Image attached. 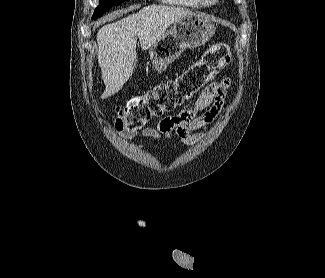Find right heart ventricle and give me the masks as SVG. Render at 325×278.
<instances>
[{"label": "right heart ventricle", "mask_w": 325, "mask_h": 278, "mask_svg": "<svg viewBox=\"0 0 325 278\" xmlns=\"http://www.w3.org/2000/svg\"><path fill=\"white\" fill-rule=\"evenodd\" d=\"M161 1L171 5H176L179 7L190 8V9H200L207 6L204 0H161Z\"/></svg>", "instance_id": "e07e8e85"}]
</instances>
